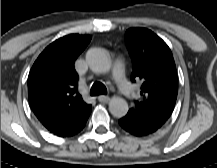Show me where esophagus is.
<instances>
[{
  "mask_svg": "<svg viewBox=\"0 0 217 168\" xmlns=\"http://www.w3.org/2000/svg\"><path fill=\"white\" fill-rule=\"evenodd\" d=\"M98 101L101 103H107L109 101V97L106 95H100L98 96Z\"/></svg>",
  "mask_w": 217,
  "mask_h": 168,
  "instance_id": "34e87169",
  "label": "esophagus"
}]
</instances>
